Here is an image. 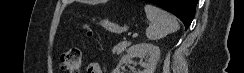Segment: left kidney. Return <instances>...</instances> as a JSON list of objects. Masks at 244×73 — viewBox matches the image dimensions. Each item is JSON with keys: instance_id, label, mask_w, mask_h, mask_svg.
I'll use <instances>...</instances> for the list:
<instances>
[{"instance_id": "left-kidney-1", "label": "left kidney", "mask_w": 244, "mask_h": 73, "mask_svg": "<svg viewBox=\"0 0 244 73\" xmlns=\"http://www.w3.org/2000/svg\"><path fill=\"white\" fill-rule=\"evenodd\" d=\"M160 49L159 47L150 44V43H139L131 46L127 50V54L124 55L119 64L114 69L113 73H120V68L130 61L133 57L136 56H146V62L143 64V70L138 73H154L157 62L160 58Z\"/></svg>"}]
</instances>
